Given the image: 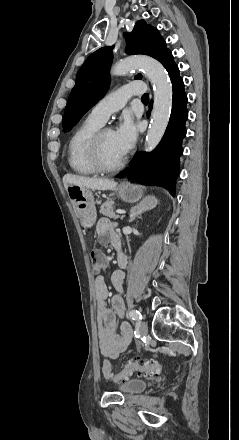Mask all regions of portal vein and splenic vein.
Returning <instances> with one entry per match:
<instances>
[{
  "label": "portal vein and splenic vein",
  "instance_id": "1",
  "mask_svg": "<svg viewBox=\"0 0 239 440\" xmlns=\"http://www.w3.org/2000/svg\"><path fill=\"white\" fill-rule=\"evenodd\" d=\"M118 211H119V212L116 213L117 215L125 214V212H124L123 209H121V210L119 209Z\"/></svg>",
  "mask_w": 239,
  "mask_h": 440
}]
</instances>
